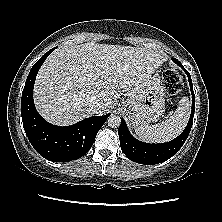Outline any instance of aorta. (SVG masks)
Segmentation results:
<instances>
[{
    "mask_svg": "<svg viewBox=\"0 0 222 222\" xmlns=\"http://www.w3.org/2000/svg\"><path fill=\"white\" fill-rule=\"evenodd\" d=\"M107 121H108V126H110L111 128H117L121 124L120 117L116 115L109 116Z\"/></svg>",
    "mask_w": 222,
    "mask_h": 222,
    "instance_id": "aorta-1",
    "label": "aorta"
}]
</instances>
